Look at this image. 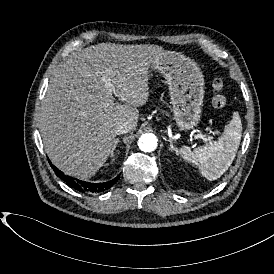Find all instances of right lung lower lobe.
<instances>
[{
    "label": "right lung lower lobe",
    "instance_id": "right-lung-lower-lobe-1",
    "mask_svg": "<svg viewBox=\"0 0 274 274\" xmlns=\"http://www.w3.org/2000/svg\"><path fill=\"white\" fill-rule=\"evenodd\" d=\"M49 163L59 178H61L63 181H65L71 187H73L74 189H76L80 192H92V193L97 192V193H99V192L108 190L110 187H112L117 182V180L119 178V177H116L113 180L104 182V183H89V182L81 181V180L66 176V175H64L63 172L59 171L54 165H52L50 161H49Z\"/></svg>",
    "mask_w": 274,
    "mask_h": 274
}]
</instances>
